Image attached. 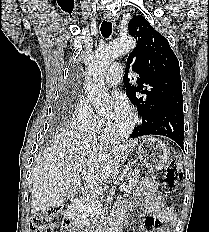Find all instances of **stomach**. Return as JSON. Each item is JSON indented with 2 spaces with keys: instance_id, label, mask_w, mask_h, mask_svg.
Returning a JSON list of instances; mask_svg holds the SVG:
<instances>
[{
  "instance_id": "stomach-1",
  "label": "stomach",
  "mask_w": 209,
  "mask_h": 232,
  "mask_svg": "<svg viewBox=\"0 0 209 232\" xmlns=\"http://www.w3.org/2000/svg\"><path fill=\"white\" fill-rule=\"evenodd\" d=\"M136 153L143 165L152 170L164 169L169 159V149L166 144L154 137L142 139Z\"/></svg>"
}]
</instances>
